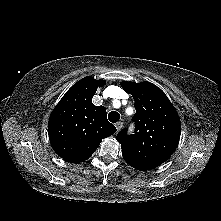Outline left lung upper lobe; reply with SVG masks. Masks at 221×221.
Listing matches in <instances>:
<instances>
[{
	"label": "left lung upper lobe",
	"instance_id": "left-lung-upper-lobe-1",
	"mask_svg": "<svg viewBox=\"0 0 221 221\" xmlns=\"http://www.w3.org/2000/svg\"><path fill=\"white\" fill-rule=\"evenodd\" d=\"M122 88L134 98L135 133L128 136L121 130L117 140L128 164L138 170L155 168L175 151L181 123L178 113L165 93L150 82L139 84L123 81Z\"/></svg>",
	"mask_w": 221,
	"mask_h": 221
}]
</instances>
